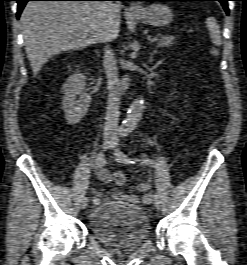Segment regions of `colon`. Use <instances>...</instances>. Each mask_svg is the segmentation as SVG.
<instances>
[{"mask_svg": "<svg viewBox=\"0 0 247 265\" xmlns=\"http://www.w3.org/2000/svg\"><path fill=\"white\" fill-rule=\"evenodd\" d=\"M114 181L118 185H123L126 182V176L122 172L117 171L114 173Z\"/></svg>", "mask_w": 247, "mask_h": 265, "instance_id": "5ec220e1", "label": "colon"}]
</instances>
